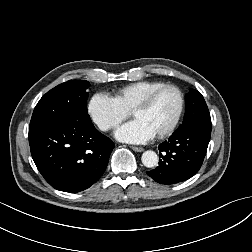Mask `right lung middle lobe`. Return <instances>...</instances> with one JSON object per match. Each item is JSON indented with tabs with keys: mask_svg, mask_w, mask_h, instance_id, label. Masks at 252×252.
<instances>
[{
	"mask_svg": "<svg viewBox=\"0 0 252 252\" xmlns=\"http://www.w3.org/2000/svg\"><path fill=\"white\" fill-rule=\"evenodd\" d=\"M89 82L70 80L47 92L37 103L30 126L59 120L92 123L87 111Z\"/></svg>",
	"mask_w": 252,
	"mask_h": 252,
	"instance_id": "1",
	"label": "right lung middle lobe"
}]
</instances>
